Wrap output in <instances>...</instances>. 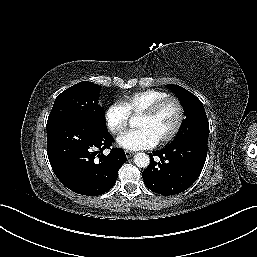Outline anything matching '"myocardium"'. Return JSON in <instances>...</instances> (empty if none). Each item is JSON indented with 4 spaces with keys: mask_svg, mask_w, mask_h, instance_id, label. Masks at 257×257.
Instances as JSON below:
<instances>
[{
    "mask_svg": "<svg viewBox=\"0 0 257 257\" xmlns=\"http://www.w3.org/2000/svg\"><path fill=\"white\" fill-rule=\"evenodd\" d=\"M169 103H174L176 105L178 115H177V120H176V123H175L173 129L166 136L159 139L158 143H161V144L172 141L178 135V133L182 127L184 117H185V110H184V106H183L182 102L180 101V99L175 96H167V97L157 101L156 103L151 105L149 108L144 110L142 113H140V116L154 117Z\"/></svg>",
    "mask_w": 257,
    "mask_h": 257,
    "instance_id": "f54148a6",
    "label": "myocardium"
}]
</instances>
